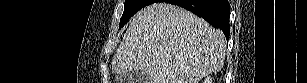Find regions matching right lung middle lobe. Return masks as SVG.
Returning <instances> with one entry per match:
<instances>
[{
	"instance_id": "right-lung-middle-lobe-1",
	"label": "right lung middle lobe",
	"mask_w": 307,
	"mask_h": 83,
	"mask_svg": "<svg viewBox=\"0 0 307 83\" xmlns=\"http://www.w3.org/2000/svg\"><path fill=\"white\" fill-rule=\"evenodd\" d=\"M153 2L154 0H125L124 12L119 28H122L137 11Z\"/></svg>"
}]
</instances>
